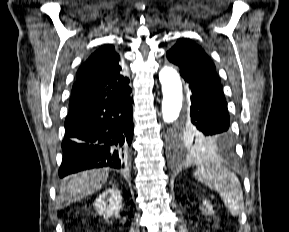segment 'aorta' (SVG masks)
I'll return each mask as SVG.
<instances>
[{"label": "aorta", "instance_id": "aorta-1", "mask_svg": "<svg viewBox=\"0 0 289 232\" xmlns=\"http://www.w3.org/2000/svg\"><path fill=\"white\" fill-rule=\"evenodd\" d=\"M162 86V117L165 123H173L179 119L183 106V90L180 76L172 67H164L159 72ZM185 123V121H182Z\"/></svg>", "mask_w": 289, "mask_h": 232}]
</instances>
